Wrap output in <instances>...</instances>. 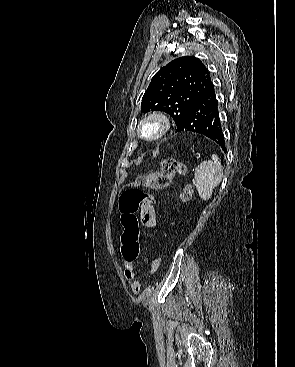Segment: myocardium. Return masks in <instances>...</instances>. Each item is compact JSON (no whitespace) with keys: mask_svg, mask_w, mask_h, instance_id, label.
Masks as SVG:
<instances>
[{"mask_svg":"<svg viewBox=\"0 0 295 367\" xmlns=\"http://www.w3.org/2000/svg\"><path fill=\"white\" fill-rule=\"evenodd\" d=\"M153 126L154 131L146 134L145 129ZM171 122L169 117L160 111H153L145 115L138 123L137 132L140 138L148 142H154L163 138L170 130Z\"/></svg>","mask_w":295,"mask_h":367,"instance_id":"f54148a6","label":"myocardium"}]
</instances>
